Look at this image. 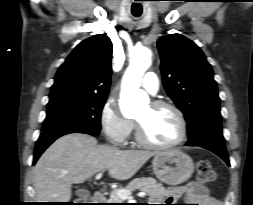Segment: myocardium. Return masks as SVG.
Masks as SVG:
<instances>
[{
  "mask_svg": "<svg viewBox=\"0 0 253 205\" xmlns=\"http://www.w3.org/2000/svg\"><path fill=\"white\" fill-rule=\"evenodd\" d=\"M150 106L154 109L167 108L174 112L180 125L179 137L175 141L169 144L153 143L145 137L142 127L139 124V122L135 121V137H136L137 142L141 146L148 149H153V150H168L182 144L186 140L187 134H188V125H187V121L182 110L175 104L168 101H163V100H155L150 103Z\"/></svg>",
  "mask_w": 253,
  "mask_h": 205,
  "instance_id": "1",
  "label": "myocardium"
}]
</instances>
